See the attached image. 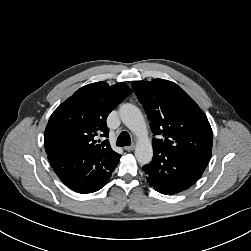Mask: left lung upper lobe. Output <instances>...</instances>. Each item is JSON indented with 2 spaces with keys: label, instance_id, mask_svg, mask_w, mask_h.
Wrapping results in <instances>:
<instances>
[{
  "label": "left lung upper lobe",
  "instance_id": "1",
  "mask_svg": "<svg viewBox=\"0 0 251 251\" xmlns=\"http://www.w3.org/2000/svg\"><path fill=\"white\" fill-rule=\"evenodd\" d=\"M132 88L144 106L153 138V149L210 159L213 134L204 112L177 84L154 79L136 81Z\"/></svg>",
  "mask_w": 251,
  "mask_h": 251
}]
</instances>
